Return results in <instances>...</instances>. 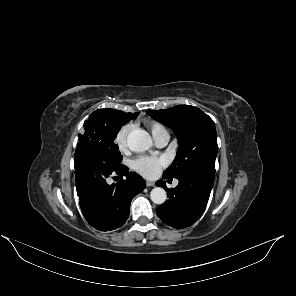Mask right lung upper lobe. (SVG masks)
<instances>
[{
	"mask_svg": "<svg viewBox=\"0 0 296 296\" xmlns=\"http://www.w3.org/2000/svg\"><path fill=\"white\" fill-rule=\"evenodd\" d=\"M104 110H106V109H99V110H96V111H94V112L90 115V117H93V116H96V115H98V114H101V113L104 112Z\"/></svg>",
	"mask_w": 296,
	"mask_h": 296,
	"instance_id": "right-lung-upper-lobe-1",
	"label": "right lung upper lobe"
}]
</instances>
